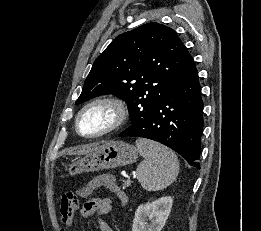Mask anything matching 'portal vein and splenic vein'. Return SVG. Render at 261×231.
<instances>
[{
    "instance_id": "obj_1",
    "label": "portal vein and splenic vein",
    "mask_w": 261,
    "mask_h": 231,
    "mask_svg": "<svg viewBox=\"0 0 261 231\" xmlns=\"http://www.w3.org/2000/svg\"><path fill=\"white\" fill-rule=\"evenodd\" d=\"M126 183H127V184H130V183H131L130 179H128V180L126 181Z\"/></svg>"
}]
</instances>
